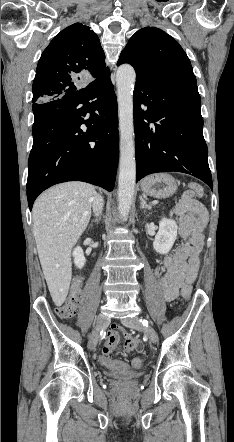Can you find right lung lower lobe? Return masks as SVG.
<instances>
[{
	"label": "right lung lower lobe",
	"mask_w": 234,
	"mask_h": 442,
	"mask_svg": "<svg viewBox=\"0 0 234 442\" xmlns=\"http://www.w3.org/2000/svg\"><path fill=\"white\" fill-rule=\"evenodd\" d=\"M32 109L33 146L27 180L30 210L37 196L57 183L79 180L112 191L119 138L110 75L95 79L72 97L34 103ZM82 124L87 126L85 131L80 129Z\"/></svg>",
	"instance_id": "1"
}]
</instances>
